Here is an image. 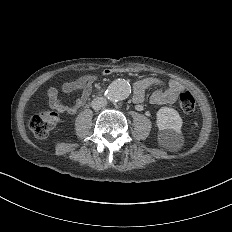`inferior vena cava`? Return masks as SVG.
<instances>
[{"mask_svg":"<svg viewBox=\"0 0 232 232\" xmlns=\"http://www.w3.org/2000/svg\"><path fill=\"white\" fill-rule=\"evenodd\" d=\"M107 106V101L105 98L103 97H98L95 98L92 102H91V107L95 110V111H102L103 109H105Z\"/></svg>","mask_w":232,"mask_h":232,"instance_id":"1","label":"inferior vena cava"}]
</instances>
